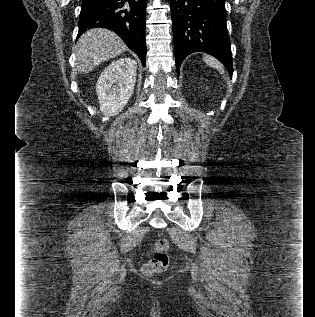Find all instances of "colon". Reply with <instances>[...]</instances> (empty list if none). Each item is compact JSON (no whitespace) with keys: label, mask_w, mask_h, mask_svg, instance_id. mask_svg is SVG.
Masks as SVG:
<instances>
[{"label":"colon","mask_w":315,"mask_h":317,"mask_svg":"<svg viewBox=\"0 0 315 317\" xmlns=\"http://www.w3.org/2000/svg\"><path fill=\"white\" fill-rule=\"evenodd\" d=\"M170 243L166 238L158 239L153 246V255L143 266V273L152 276L164 272L169 265Z\"/></svg>","instance_id":"colon-1"}]
</instances>
